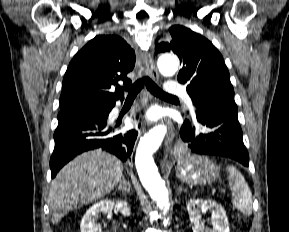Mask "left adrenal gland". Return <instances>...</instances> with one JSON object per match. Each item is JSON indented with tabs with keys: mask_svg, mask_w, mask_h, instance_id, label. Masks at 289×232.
Segmentation results:
<instances>
[{
	"mask_svg": "<svg viewBox=\"0 0 289 232\" xmlns=\"http://www.w3.org/2000/svg\"><path fill=\"white\" fill-rule=\"evenodd\" d=\"M177 190H178V193H181L184 189H183L181 186H179V187L177 188Z\"/></svg>",
	"mask_w": 289,
	"mask_h": 232,
	"instance_id": "1",
	"label": "left adrenal gland"
}]
</instances>
